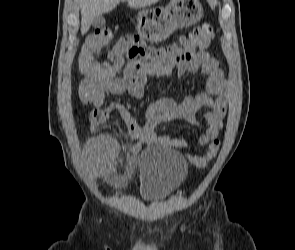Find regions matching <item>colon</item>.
I'll list each match as a JSON object with an SVG mask.
<instances>
[{"label": "colon", "instance_id": "colon-1", "mask_svg": "<svg viewBox=\"0 0 295 250\" xmlns=\"http://www.w3.org/2000/svg\"><path fill=\"white\" fill-rule=\"evenodd\" d=\"M112 31L108 28H101L94 31L88 36L84 42L80 55L79 65L83 73H91L95 70L96 56L102 48L106 46L112 39ZM215 36L214 26L212 23L206 22L197 26L191 33L187 43H191L200 47L209 45ZM111 112L108 109H94L89 114V123L92 130H97L106 124ZM220 147L218 139L211 141L205 154L201 157L192 156L191 161L198 168H204L213 158L216 157Z\"/></svg>", "mask_w": 295, "mask_h": 250}]
</instances>
